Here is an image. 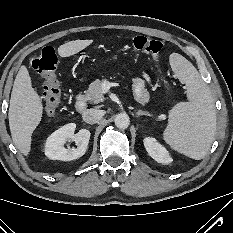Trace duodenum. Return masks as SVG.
<instances>
[{
  "label": "duodenum",
  "mask_w": 233,
  "mask_h": 233,
  "mask_svg": "<svg viewBox=\"0 0 233 233\" xmlns=\"http://www.w3.org/2000/svg\"><path fill=\"white\" fill-rule=\"evenodd\" d=\"M86 100L82 91H79L75 99V108L78 112H83L86 110Z\"/></svg>",
  "instance_id": "obj_1"
}]
</instances>
